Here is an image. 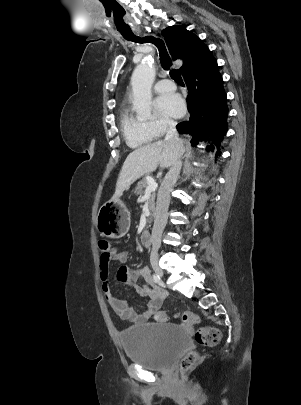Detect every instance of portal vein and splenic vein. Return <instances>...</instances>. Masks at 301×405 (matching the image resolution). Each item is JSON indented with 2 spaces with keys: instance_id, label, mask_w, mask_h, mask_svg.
Masks as SVG:
<instances>
[{
  "instance_id": "obj_1",
  "label": "portal vein and splenic vein",
  "mask_w": 301,
  "mask_h": 405,
  "mask_svg": "<svg viewBox=\"0 0 301 405\" xmlns=\"http://www.w3.org/2000/svg\"><path fill=\"white\" fill-rule=\"evenodd\" d=\"M147 181H148V186L145 189V194H150L151 192H155L158 187V184L156 183V181L151 177H148Z\"/></svg>"
}]
</instances>
